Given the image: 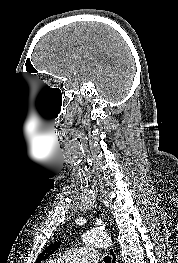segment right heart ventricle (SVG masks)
<instances>
[{
    "mask_svg": "<svg viewBox=\"0 0 178 263\" xmlns=\"http://www.w3.org/2000/svg\"><path fill=\"white\" fill-rule=\"evenodd\" d=\"M48 263H59V262L56 259H52Z\"/></svg>",
    "mask_w": 178,
    "mask_h": 263,
    "instance_id": "obj_1",
    "label": "right heart ventricle"
}]
</instances>
